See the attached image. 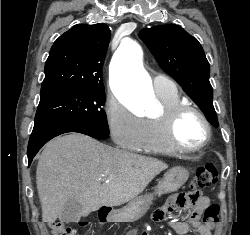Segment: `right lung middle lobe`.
<instances>
[{"instance_id":"dd1d6c3e","label":"right lung middle lobe","mask_w":250,"mask_h":235,"mask_svg":"<svg viewBox=\"0 0 250 235\" xmlns=\"http://www.w3.org/2000/svg\"><path fill=\"white\" fill-rule=\"evenodd\" d=\"M104 87L76 89L41 97L35 122L66 120L109 133Z\"/></svg>"}]
</instances>
